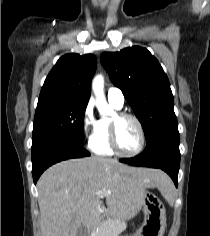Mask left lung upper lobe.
Returning <instances> with one entry per match:
<instances>
[{"instance_id": "obj_1", "label": "left lung upper lobe", "mask_w": 210, "mask_h": 236, "mask_svg": "<svg viewBox=\"0 0 210 236\" xmlns=\"http://www.w3.org/2000/svg\"><path fill=\"white\" fill-rule=\"evenodd\" d=\"M101 63L141 122L146 142L158 132L178 126L169 80L147 49L133 46L106 52Z\"/></svg>"}]
</instances>
